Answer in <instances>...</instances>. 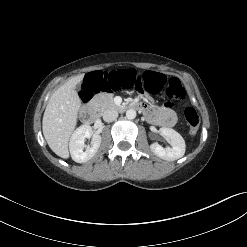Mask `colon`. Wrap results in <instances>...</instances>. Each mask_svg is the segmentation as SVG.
<instances>
[{
    "mask_svg": "<svg viewBox=\"0 0 247 247\" xmlns=\"http://www.w3.org/2000/svg\"><path fill=\"white\" fill-rule=\"evenodd\" d=\"M85 92L83 98L88 100L91 94L105 92L114 94L118 92L135 91L139 94H156L164 90L170 101H181L185 97V90L177 78H167L159 73L139 71L127 65L111 66L101 73L92 71L84 79ZM186 124L191 134H196L200 117L192 107L184 110Z\"/></svg>",
    "mask_w": 247,
    "mask_h": 247,
    "instance_id": "1",
    "label": "colon"
}]
</instances>
